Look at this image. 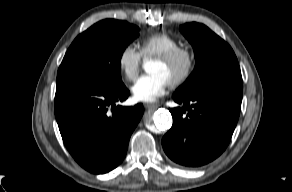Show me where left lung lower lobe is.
Wrapping results in <instances>:
<instances>
[{
	"instance_id": "0a47b994",
	"label": "left lung lower lobe",
	"mask_w": 292,
	"mask_h": 192,
	"mask_svg": "<svg viewBox=\"0 0 292 192\" xmlns=\"http://www.w3.org/2000/svg\"><path fill=\"white\" fill-rule=\"evenodd\" d=\"M183 107L169 109L173 125L162 139L167 156L188 167L217 158L226 149L236 127L242 91L208 90L189 96L173 95Z\"/></svg>"
}]
</instances>
